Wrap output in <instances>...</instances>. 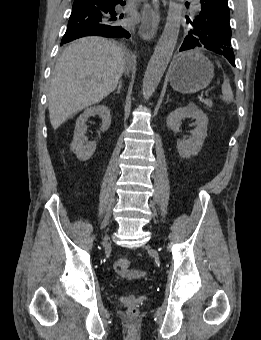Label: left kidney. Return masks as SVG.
I'll return each instance as SVG.
<instances>
[{
	"label": "left kidney",
	"mask_w": 261,
	"mask_h": 340,
	"mask_svg": "<svg viewBox=\"0 0 261 340\" xmlns=\"http://www.w3.org/2000/svg\"><path fill=\"white\" fill-rule=\"evenodd\" d=\"M186 117L195 119L197 126L191 131V136L188 139L177 140V150L182 158H190L193 155H197L202 149L207 136L208 117L193 103L171 112L167 117V127L174 132H178L181 120Z\"/></svg>",
	"instance_id": "left-kidney-1"
}]
</instances>
